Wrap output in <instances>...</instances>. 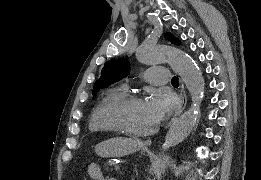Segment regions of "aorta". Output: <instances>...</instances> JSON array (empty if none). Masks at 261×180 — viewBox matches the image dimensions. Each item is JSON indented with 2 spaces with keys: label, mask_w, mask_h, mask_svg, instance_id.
Masks as SVG:
<instances>
[{
  "label": "aorta",
  "mask_w": 261,
  "mask_h": 180,
  "mask_svg": "<svg viewBox=\"0 0 261 180\" xmlns=\"http://www.w3.org/2000/svg\"><path fill=\"white\" fill-rule=\"evenodd\" d=\"M138 61L144 64L168 62L178 73L188 89L192 104L170 127L166 134L163 149L176 146L193 130L204 96V79L197 64L184 51L165 45H142L136 52Z\"/></svg>",
  "instance_id": "aorta-1"
}]
</instances>
